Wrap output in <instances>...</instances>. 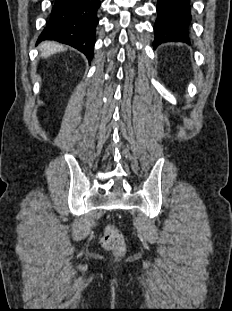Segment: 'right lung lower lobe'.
Wrapping results in <instances>:
<instances>
[{"label":"right lung lower lobe","instance_id":"obj_1","mask_svg":"<svg viewBox=\"0 0 232 311\" xmlns=\"http://www.w3.org/2000/svg\"><path fill=\"white\" fill-rule=\"evenodd\" d=\"M100 0H54L49 22L37 42L55 40L93 58Z\"/></svg>","mask_w":232,"mask_h":311}]
</instances>
